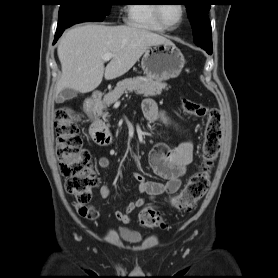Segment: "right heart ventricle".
I'll return each instance as SVG.
<instances>
[{"label": "right heart ventricle", "mask_w": 278, "mask_h": 278, "mask_svg": "<svg viewBox=\"0 0 278 278\" xmlns=\"http://www.w3.org/2000/svg\"><path fill=\"white\" fill-rule=\"evenodd\" d=\"M154 4L134 3L127 8L129 24L155 32H164V28L154 16Z\"/></svg>", "instance_id": "right-heart-ventricle-1"}]
</instances>
